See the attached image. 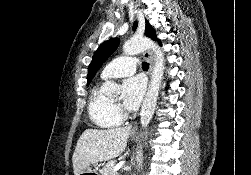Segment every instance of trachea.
Listing matches in <instances>:
<instances>
[{
    "label": "trachea",
    "mask_w": 251,
    "mask_h": 175,
    "mask_svg": "<svg viewBox=\"0 0 251 175\" xmlns=\"http://www.w3.org/2000/svg\"><path fill=\"white\" fill-rule=\"evenodd\" d=\"M142 68H143V70H148L149 69L148 63L147 62H143Z\"/></svg>",
    "instance_id": "1"
}]
</instances>
